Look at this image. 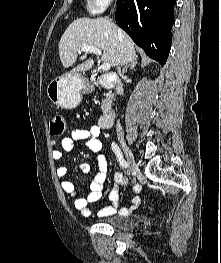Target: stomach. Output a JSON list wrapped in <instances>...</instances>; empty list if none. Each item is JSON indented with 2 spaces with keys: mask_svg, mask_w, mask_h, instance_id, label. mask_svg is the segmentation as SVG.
<instances>
[{
  "mask_svg": "<svg viewBox=\"0 0 221 263\" xmlns=\"http://www.w3.org/2000/svg\"><path fill=\"white\" fill-rule=\"evenodd\" d=\"M89 87L79 73H66L53 79L47 86L48 98L57 106L64 109H73L81 101V93Z\"/></svg>",
  "mask_w": 221,
  "mask_h": 263,
  "instance_id": "obj_1",
  "label": "stomach"
}]
</instances>
